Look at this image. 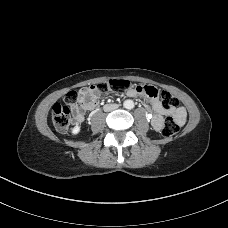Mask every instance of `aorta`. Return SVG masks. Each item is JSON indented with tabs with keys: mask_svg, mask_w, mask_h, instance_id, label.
I'll use <instances>...</instances> for the list:
<instances>
[{
	"mask_svg": "<svg viewBox=\"0 0 228 228\" xmlns=\"http://www.w3.org/2000/svg\"><path fill=\"white\" fill-rule=\"evenodd\" d=\"M123 105L126 109H133L134 108V102L132 100L124 101Z\"/></svg>",
	"mask_w": 228,
	"mask_h": 228,
	"instance_id": "1",
	"label": "aorta"
}]
</instances>
